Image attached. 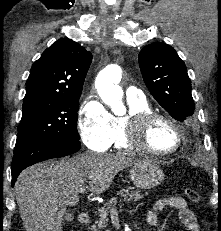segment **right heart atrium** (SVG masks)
<instances>
[{
    "label": "right heart atrium",
    "instance_id": "obj_1",
    "mask_svg": "<svg viewBox=\"0 0 221 231\" xmlns=\"http://www.w3.org/2000/svg\"><path fill=\"white\" fill-rule=\"evenodd\" d=\"M78 128L82 142L91 150L108 149L114 137V117L95 96H88L78 114Z\"/></svg>",
    "mask_w": 221,
    "mask_h": 231
}]
</instances>
